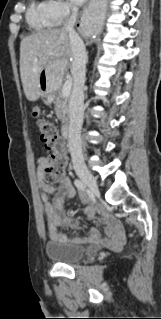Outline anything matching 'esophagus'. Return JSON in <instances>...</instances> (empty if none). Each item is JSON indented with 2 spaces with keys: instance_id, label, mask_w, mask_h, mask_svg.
Returning <instances> with one entry per match:
<instances>
[{
  "instance_id": "obj_1",
  "label": "esophagus",
  "mask_w": 161,
  "mask_h": 319,
  "mask_svg": "<svg viewBox=\"0 0 161 319\" xmlns=\"http://www.w3.org/2000/svg\"><path fill=\"white\" fill-rule=\"evenodd\" d=\"M77 26H79V20H78V22H77Z\"/></svg>"
}]
</instances>
